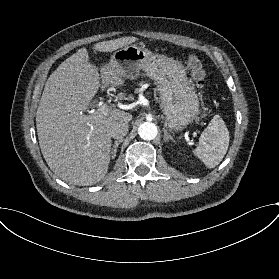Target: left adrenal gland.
Returning a JSON list of instances; mask_svg holds the SVG:
<instances>
[{"label":"left adrenal gland","instance_id":"left-adrenal-gland-1","mask_svg":"<svg viewBox=\"0 0 279 279\" xmlns=\"http://www.w3.org/2000/svg\"><path fill=\"white\" fill-rule=\"evenodd\" d=\"M165 133V137H164V143H168L169 141H172L173 143H175V140L171 137V135H169L166 131H164Z\"/></svg>","mask_w":279,"mask_h":279}]
</instances>
